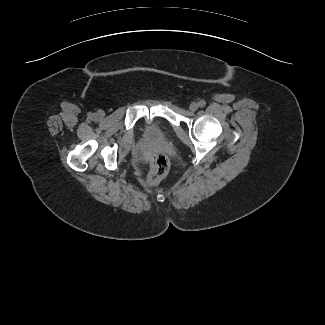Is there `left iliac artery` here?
<instances>
[{
    "label": "left iliac artery",
    "instance_id": "44dca946",
    "mask_svg": "<svg viewBox=\"0 0 325 325\" xmlns=\"http://www.w3.org/2000/svg\"><path fill=\"white\" fill-rule=\"evenodd\" d=\"M198 105H199V107L203 108V107L206 106V102H205L204 100H200V101L198 102Z\"/></svg>",
    "mask_w": 325,
    "mask_h": 325
}]
</instances>
